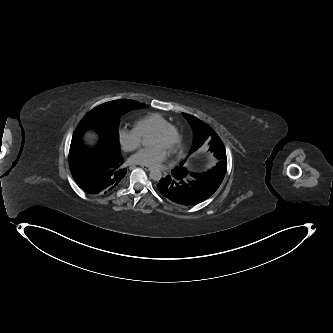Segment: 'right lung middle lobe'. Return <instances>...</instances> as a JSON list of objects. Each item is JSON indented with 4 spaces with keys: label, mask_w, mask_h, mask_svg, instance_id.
<instances>
[{
    "label": "right lung middle lobe",
    "mask_w": 333,
    "mask_h": 333,
    "mask_svg": "<svg viewBox=\"0 0 333 333\" xmlns=\"http://www.w3.org/2000/svg\"><path fill=\"white\" fill-rule=\"evenodd\" d=\"M143 107H146V105L128 99L101 104L83 117L74 132L72 140L79 141L85 129L96 127L103 134L101 145L108 151L119 154L118 127L120 117L130 110Z\"/></svg>",
    "instance_id": "right-lung-middle-lobe-1"
}]
</instances>
